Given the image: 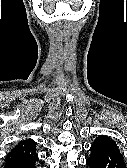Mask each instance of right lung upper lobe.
<instances>
[{
  "label": "right lung upper lobe",
  "mask_w": 127,
  "mask_h": 168,
  "mask_svg": "<svg viewBox=\"0 0 127 168\" xmlns=\"http://www.w3.org/2000/svg\"><path fill=\"white\" fill-rule=\"evenodd\" d=\"M35 142L28 139L26 141L20 142L15 146L8 154L7 159H20V158H30L36 157Z\"/></svg>",
  "instance_id": "right-lung-upper-lobe-1"
}]
</instances>
